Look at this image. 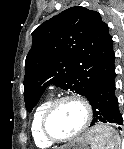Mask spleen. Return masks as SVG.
I'll list each match as a JSON object with an SVG mask.
<instances>
[{
    "instance_id": "1",
    "label": "spleen",
    "mask_w": 124,
    "mask_h": 149,
    "mask_svg": "<svg viewBox=\"0 0 124 149\" xmlns=\"http://www.w3.org/2000/svg\"><path fill=\"white\" fill-rule=\"evenodd\" d=\"M102 126L96 128V133L89 138L91 149H119L121 142L116 131L111 127Z\"/></svg>"
}]
</instances>
